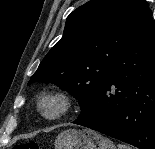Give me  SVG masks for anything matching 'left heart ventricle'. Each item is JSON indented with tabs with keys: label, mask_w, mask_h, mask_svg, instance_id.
<instances>
[{
	"label": "left heart ventricle",
	"mask_w": 155,
	"mask_h": 149,
	"mask_svg": "<svg viewBox=\"0 0 155 149\" xmlns=\"http://www.w3.org/2000/svg\"><path fill=\"white\" fill-rule=\"evenodd\" d=\"M46 108L50 111V112H54L55 110H56V105H54V104H48L47 106H46Z\"/></svg>",
	"instance_id": "1"
}]
</instances>
